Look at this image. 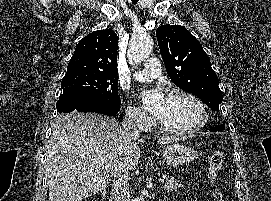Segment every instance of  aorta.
Segmentation results:
<instances>
[{
	"mask_svg": "<svg viewBox=\"0 0 271 201\" xmlns=\"http://www.w3.org/2000/svg\"><path fill=\"white\" fill-rule=\"evenodd\" d=\"M153 39L148 34H136L129 43L127 57L132 65H137L145 60L153 49ZM134 201H144V195L141 194Z\"/></svg>",
	"mask_w": 271,
	"mask_h": 201,
	"instance_id": "1",
	"label": "aorta"
}]
</instances>
